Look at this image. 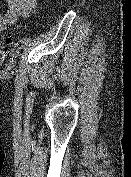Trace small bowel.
Here are the masks:
<instances>
[{
	"label": "small bowel",
	"instance_id": "1",
	"mask_svg": "<svg viewBox=\"0 0 131 177\" xmlns=\"http://www.w3.org/2000/svg\"><path fill=\"white\" fill-rule=\"evenodd\" d=\"M7 9L0 14V34L20 18H28L38 6V0H6Z\"/></svg>",
	"mask_w": 131,
	"mask_h": 177
}]
</instances>
